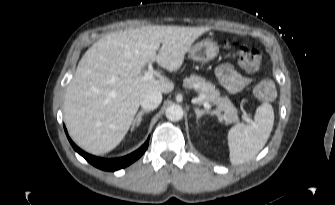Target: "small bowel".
<instances>
[{
  "label": "small bowel",
  "instance_id": "small-bowel-1",
  "mask_svg": "<svg viewBox=\"0 0 335 205\" xmlns=\"http://www.w3.org/2000/svg\"><path fill=\"white\" fill-rule=\"evenodd\" d=\"M221 85L230 93H237L251 82V78L240 74L231 64L219 65L215 70Z\"/></svg>",
  "mask_w": 335,
  "mask_h": 205
}]
</instances>
